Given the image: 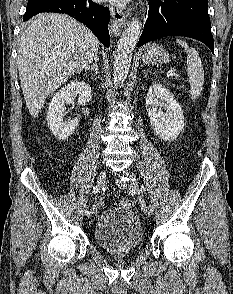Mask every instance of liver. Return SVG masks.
Returning a JSON list of instances; mask_svg holds the SVG:
<instances>
[{
    "instance_id": "1",
    "label": "liver",
    "mask_w": 233,
    "mask_h": 294,
    "mask_svg": "<svg viewBox=\"0 0 233 294\" xmlns=\"http://www.w3.org/2000/svg\"><path fill=\"white\" fill-rule=\"evenodd\" d=\"M99 41L67 15L42 13L23 32L17 57L21 88L33 118L48 95L85 69L98 55Z\"/></svg>"
}]
</instances>
